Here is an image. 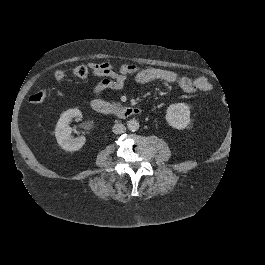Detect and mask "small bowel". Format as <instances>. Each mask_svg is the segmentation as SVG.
Masks as SVG:
<instances>
[{
	"label": "small bowel",
	"instance_id": "obj_1",
	"mask_svg": "<svg viewBox=\"0 0 265 265\" xmlns=\"http://www.w3.org/2000/svg\"><path fill=\"white\" fill-rule=\"evenodd\" d=\"M88 67L91 69L93 75L103 78L93 88L94 96L97 99H101L104 91L108 89L114 91L123 89L127 77L132 73L135 74V81L140 84L151 81H162L177 84L186 93L209 91L212 89L211 82L204 76L190 78L181 76L174 71L160 68L140 69L130 64L115 68L112 64L106 62L90 63Z\"/></svg>",
	"mask_w": 265,
	"mask_h": 265
}]
</instances>
